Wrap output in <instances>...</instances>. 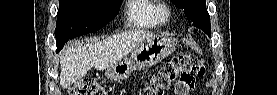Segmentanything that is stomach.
<instances>
[{"mask_svg": "<svg viewBox=\"0 0 277 95\" xmlns=\"http://www.w3.org/2000/svg\"><path fill=\"white\" fill-rule=\"evenodd\" d=\"M176 42L167 36H155L140 43L129 57H125L107 70L111 80H125L135 70L149 68L174 52Z\"/></svg>", "mask_w": 277, "mask_h": 95, "instance_id": "stomach-1", "label": "stomach"}]
</instances>
